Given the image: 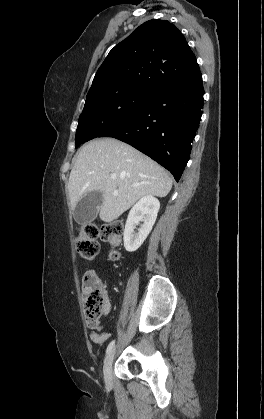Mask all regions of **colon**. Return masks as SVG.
I'll list each match as a JSON object with an SVG mask.
<instances>
[{
	"instance_id": "obj_1",
	"label": "colon",
	"mask_w": 264,
	"mask_h": 419,
	"mask_svg": "<svg viewBox=\"0 0 264 419\" xmlns=\"http://www.w3.org/2000/svg\"><path fill=\"white\" fill-rule=\"evenodd\" d=\"M123 232V225L120 221L98 226L95 223L84 224L76 239L75 247L77 253L84 259L92 260L99 253L97 238L117 245ZM117 251L110 252V258H118ZM83 309L87 325L91 329H99V321L104 312L108 298L102 281L95 273L87 272L82 281Z\"/></svg>"
}]
</instances>
